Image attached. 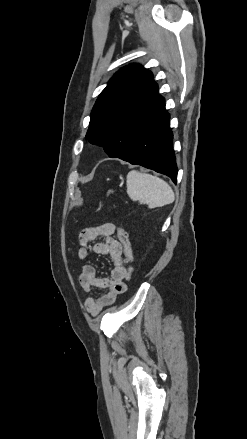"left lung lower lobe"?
Segmentation results:
<instances>
[{"instance_id": "left-lung-lower-lobe-1", "label": "left lung lower lobe", "mask_w": 247, "mask_h": 439, "mask_svg": "<svg viewBox=\"0 0 247 439\" xmlns=\"http://www.w3.org/2000/svg\"><path fill=\"white\" fill-rule=\"evenodd\" d=\"M169 119L170 115L166 112L164 103L138 131L122 160L165 174L175 182L177 167Z\"/></svg>"}]
</instances>
